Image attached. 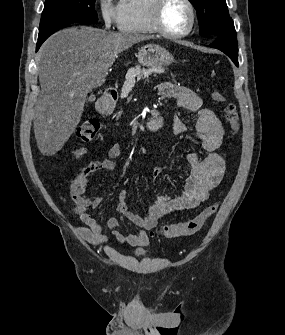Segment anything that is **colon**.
<instances>
[{"label":"colon","mask_w":285,"mask_h":335,"mask_svg":"<svg viewBox=\"0 0 285 335\" xmlns=\"http://www.w3.org/2000/svg\"><path fill=\"white\" fill-rule=\"evenodd\" d=\"M211 98L216 103L224 105L225 117L232 129L233 134H236L239 130V116L235 105L227 102L225 95L218 90H213L211 92ZM99 128L100 124L96 119H88L78 127L77 138L82 143L91 142L96 138ZM83 153V148H78L75 150L76 157L82 156ZM217 210L218 203H212L196 217L186 221L166 225L160 230L159 233L169 238L195 234L205 225L207 220L217 212Z\"/></svg>","instance_id":"1"}]
</instances>
